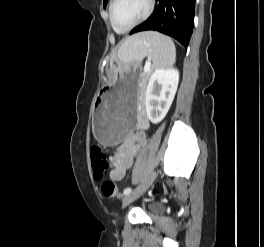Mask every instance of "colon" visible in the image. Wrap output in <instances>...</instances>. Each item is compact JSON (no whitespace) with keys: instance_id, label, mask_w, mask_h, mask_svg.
<instances>
[{"instance_id":"5ec220e1","label":"colon","mask_w":264,"mask_h":247,"mask_svg":"<svg viewBox=\"0 0 264 247\" xmlns=\"http://www.w3.org/2000/svg\"><path fill=\"white\" fill-rule=\"evenodd\" d=\"M90 157L94 177L97 179L102 178L109 166L106 152L102 147L94 146L90 150ZM101 191L106 197H116L119 194L116 185L110 180L102 182Z\"/></svg>"}]
</instances>
